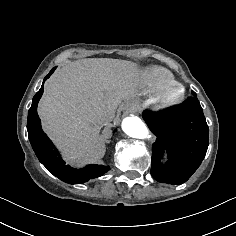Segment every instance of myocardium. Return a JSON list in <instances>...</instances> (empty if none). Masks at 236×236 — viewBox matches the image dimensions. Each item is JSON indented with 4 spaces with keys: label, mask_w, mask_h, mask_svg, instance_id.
Listing matches in <instances>:
<instances>
[{
    "label": "myocardium",
    "mask_w": 236,
    "mask_h": 236,
    "mask_svg": "<svg viewBox=\"0 0 236 236\" xmlns=\"http://www.w3.org/2000/svg\"><path fill=\"white\" fill-rule=\"evenodd\" d=\"M184 89L175 84L164 89L159 95V104L162 108H170L179 104L184 98Z\"/></svg>",
    "instance_id": "1"
}]
</instances>
